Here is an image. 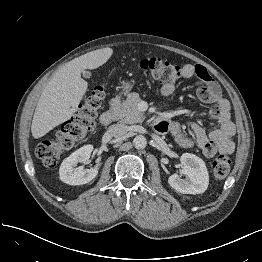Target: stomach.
Here are the masks:
<instances>
[{
  "label": "stomach",
  "instance_id": "stomach-1",
  "mask_svg": "<svg viewBox=\"0 0 262 262\" xmlns=\"http://www.w3.org/2000/svg\"><path fill=\"white\" fill-rule=\"evenodd\" d=\"M134 86L133 82H124L123 83V93L127 94Z\"/></svg>",
  "mask_w": 262,
  "mask_h": 262
}]
</instances>
